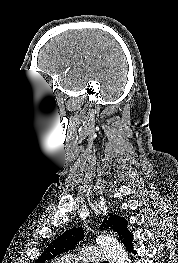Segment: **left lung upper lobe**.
I'll return each mask as SVG.
<instances>
[{
	"instance_id": "1",
	"label": "left lung upper lobe",
	"mask_w": 178,
	"mask_h": 263,
	"mask_svg": "<svg viewBox=\"0 0 178 263\" xmlns=\"http://www.w3.org/2000/svg\"><path fill=\"white\" fill-rule=\"evenodd\" d=\"M127 220L124 217L110 214V218L104 219L101 229H111L118 235L122 230ZM84 238V232L82 228H73L66 231L57 239L52 241L41 256L36 260V263H45L48 260L60 255L61 253L68 252L75 248V246Z\"/></svg>"
}]
</instances>
